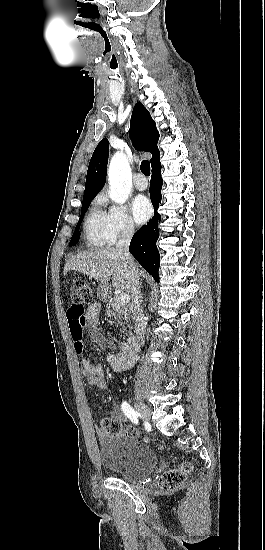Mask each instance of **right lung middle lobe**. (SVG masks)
Masks as SVG:
<instances>
[{
    "label": "right lung middle lobe",
    "mask_w": 265,
    "mask_h": 550,
    "mask_svg": "<svg viewBox=\"0 0 265 550\" xmlns=\"http://www.w3.org/2000/svg\"><path fill=\"white\" fill-rule=\"evenodd\" d=\"M93 200V198H88V199H83V202H82V209H81V216H80V219L77 223V226H76V229L73 233V236L71 238V241H70V246H75L76 243L78 242V239H79V227H80V224H81V220L83 219V216H84V213L87 211L91 201Z\"/></svg>",
    "instance_id": "obj_1"
}]
</instances>
